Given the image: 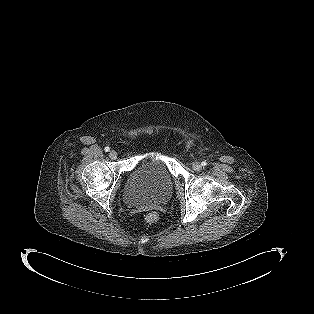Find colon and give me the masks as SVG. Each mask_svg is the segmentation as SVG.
I'll return each mask as SVG.
<instances>
[{"instance_id":"obj_1","label":"colon","mask_w":314,"mask_h":314,"mask_svg":"<svg viewBox=\"0 0 314 314\" xmlns=\"http://www.w3.org/2000/svg\"><path fill=\"white\" fill-rule=\"evenodd\" d=\"M146 223H155L158 220V215L154 212L147 213L144 217Z\"/></svg>"}]
</instances>
